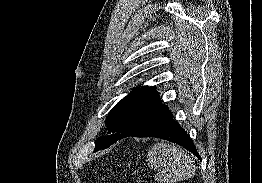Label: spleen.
Returning <instances> with one entry per match:
<instances>
[{"label": "spleen", "instance_id": "spleen-1", "mask_svg": "<svg viewBox=\"0 0 262 183\" xmlns=\"http://www.w3.org/2000/svg\"><path fill=\"white\" fill-rule=\"evenodd\" d=\"M148 165L158 169L154 179L160 183H174L193 176L195 166L187 153L170 144L157 143L148 152Z\"/></svg>", "mask_w": 262, "mask_h": 183}]
</instances>
